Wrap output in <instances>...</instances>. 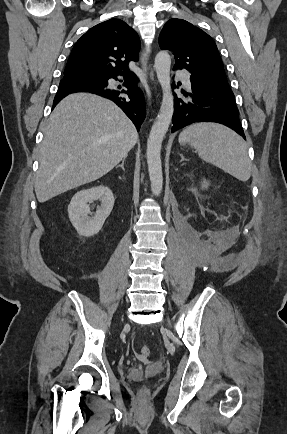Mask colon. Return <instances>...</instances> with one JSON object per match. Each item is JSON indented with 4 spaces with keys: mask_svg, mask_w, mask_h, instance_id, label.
<instances>
[{
    "mask_svg": "<svg viewBox=\"0 0 287 434\" xmlns=\"http://www.w3.org/2000/svg\"><path fill=\"white\" fill-rule=\"evenodd\" d=\"M150 356V348L148 346H142L140 348L139 358L141 360H146ZM148 395L147 389H141L139 391V398L144 399Z\"/></svg>",
    "mask_w": 287,
    "mask_h": 434,
    "instance_id": "1",
    "label": "colon"
}]
</instances>
